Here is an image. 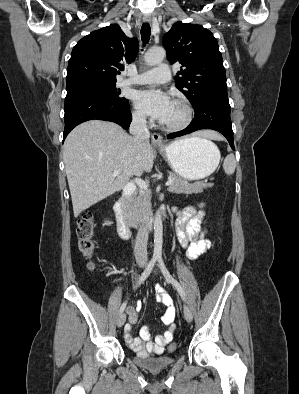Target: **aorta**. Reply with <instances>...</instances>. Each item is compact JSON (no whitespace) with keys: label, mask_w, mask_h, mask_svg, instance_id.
<instances>
[{"label":"aorta","mask_w":299,"mask_h":394,"mask_svg":"<svg viewBox=\"0 0 299 394\" xmlns=\"http://www.w3.org/2000/svg\"><path fill=\"white\" fill-rule=\"evenodd\" d=\"M166 56L163 48H152L144 55V61L148 66L160 64ZM163 243V225L159 212L156 213L154 219V255L158 256L162 252Z\"/></svg>","instance_id":"obj_1"}]
</instances>
